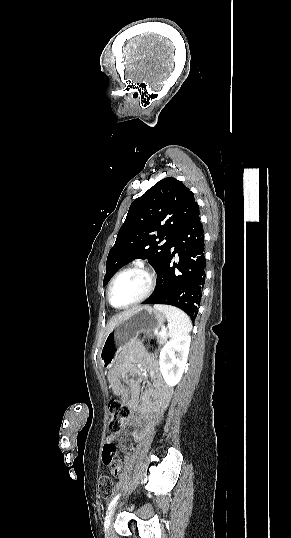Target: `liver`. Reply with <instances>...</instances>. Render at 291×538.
Here are the masks:
<instances>
[{
  "label": "liver",
  "instance_id": "1",
  "mask_svg": "<svg viewBox=\"0 0 291 538\" xmlns=\"http://www.w3.org/2000/svg\"><path fill=\"white\" fill-rule=\"evenodd\" d=\"M137 308H133L131 310H128V311H125V312H122L120 314H118L117 316H114L113 318H111L107 324V327H106V335L110 332V330L116 326L119 322H121L122 320H124L125 318H127L132 312H134Z\"/></svg>",
  "mask_w": 291,
  "mask_h": 538
}]
</instances>
